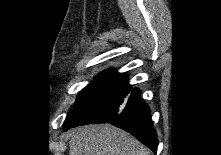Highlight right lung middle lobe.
<instances>
[{
    "instance_id": "dd1d6c3e",
    "label": "right lung middle lobe",
    "mask_w": 221,
    "mask_h": 155,
    "mask_svg": "<svg viewBox=\"0 0 221 155\" xmlns=\"http://www.w3.org/2000/svg\"><path fill=\"white\" fill-rule=\"evenodd\" d=\"M111 75V70H107L79 93L74 104L73 115L63 125L65 131L80 124L93 110L103 94Z\"/></svg>"
}]
</instances>
